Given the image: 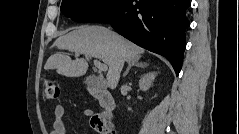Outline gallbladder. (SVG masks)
Listing matches in <instances>:
<instances>
[{
    "mask_svg": "<svg viewBox=\"0 0 239 134\" xmlns=\"http://www.w3.org/2000/svg\"><path fill=\"white\" fill-rule=\"evenodd\" d=\"M86 83L91 85V86H94V87H98V88H101L102 86V83L99 79L95 78V77H92V76H89L86 78Z\"/></svg>",
    "mask_w": 239,
    "mask_h": 134,
    "instance_id": "1",
    "label": "gallbladder"
}]
</instances>
